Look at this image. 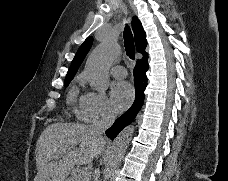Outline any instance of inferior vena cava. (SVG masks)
I'll return each instance as SVG.
<instances>
[{"label": "inferior vena cava", "instance_id": "1", "mask_svg": "<svg viewBox=\"0 0 228 181\" xmlns=\"http://www.w3.org/2000/svg\"><path fill=\"white\" fill-rule=\"evenodd\" d=\"M116 119V115L114 113H111V111H104L101 115L100 121H96V123H93L91 125L94 133H98V135H104L105 131L113 125L114 121ZM98 169L95 171V181H98Z\"/></svg>", "mask_w": 228, "mask_h": 181}]
</instances>
